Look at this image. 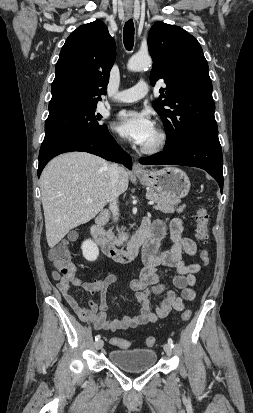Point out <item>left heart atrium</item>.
Returning <instances> with one entry per match:
<instances>
[{
  "label": "left heart atrium",
  "mask_w": 253,
  "mask_h": 413,
  "mask_svg": "<svg viewBox=\"0 0 253 413\" xmlns=\"http://www.w3.org/2000/svg\"><path fill=\"white\" fill-rule=\"evenodd\" d=\"M112 128L139 145H144L155 131L150 115L145 111L135 110L119 112L112 123Z\"/></svg>",
  "instance_id": "left-heart-atrium-1"
}]
</instances>
